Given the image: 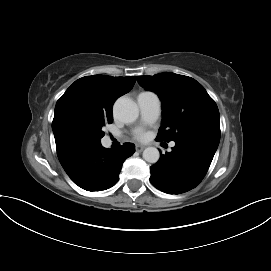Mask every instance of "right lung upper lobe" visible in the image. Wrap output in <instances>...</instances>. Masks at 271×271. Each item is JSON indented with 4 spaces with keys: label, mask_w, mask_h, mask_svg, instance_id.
Returning <instances> with one entry per match:
<instances>
[{
    "label": "right lung upper lobe",
    "mask_w": 271,
    "mask_h": 271,
    "mask_svg": "<svg viewBox=\"0 0 271 271\" xmlns=\"http://www.w3.org/2000/svg\"><path fill=\"white\" fill-rule=\"evenodd\" d=\"M136 77H112L105 75L86 76L75 81L57 101L52 122L57 155L61 165L92 149L77 145L67 139L61 131V120L70 110H87L112 113L114 101L129 92Z\"/></svg>",
    "instance_id": "cb5924a9"
}]
</instances>
